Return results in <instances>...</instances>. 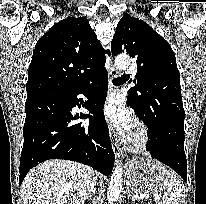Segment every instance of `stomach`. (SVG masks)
<instances>
[{"mask_svg":"<svg viewBox=\"0 0 206 204\" xmlns=\"http://www.w3.org/2000/svg\"><path fill=\"white\" fill-rule=\"evenodd\" d=\"M130 187L140 195L161 192L167 180V168L152 159H132L127 166Z\"/></svg>","mask_w":206,"mask_h":204,"instance_id":"1","label":"stomach"}]
</instances>
